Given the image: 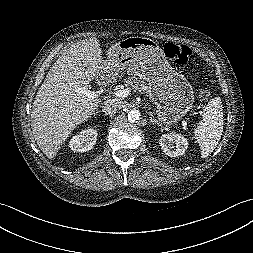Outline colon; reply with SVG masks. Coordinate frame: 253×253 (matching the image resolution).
I'll return each instance as SVG.
<instances>
[{"mask_svg":"<svg viewBox=\"0 0 253 253\" xmlns=\"http://www.w3.org/2000/svg\"><path fill=\"white\" fill-rule=\"evenodd\" d=\"M164 53L168 59L180 66L190 65L193 61L192 52L187 46L167 43L164 46ZM209 96L210 92L208 89H202L200 91V97L202 99H208Z\"/></svg>","mask_w":253,"mask_h":253,"instance_id":"obj_1","label":"colon"}]
</instances>
